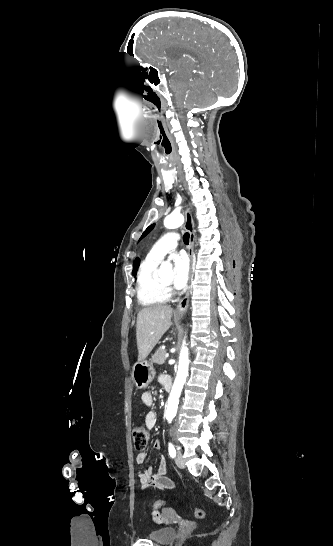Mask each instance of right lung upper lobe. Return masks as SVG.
Masks as SVG:
<instances>
[{"label": "right lung upper lobe", "mask_w": 333, "mask_h": 546, "mask_svg": "<svg viewBox=\"0 0 333 546\" xmlns=\"http://www.w3.org/2000/svg\"><path fill=\"white\" fill-rule=\"evenodd\" d=\"M134 264L139 265V258H136V259H135ZM134 264H133V265H134Z\"/></svg>", "instance_id": "1"}]
</instances>
